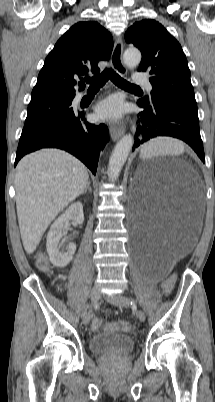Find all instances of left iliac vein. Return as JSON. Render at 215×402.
Here are the masks:
<instances>
[{
	"instance_id": "1",
	"label": "left iliac vein",
	"mask_w": 215,
	"mask_h": 402,
	"mask_svg": "<svg viewBox=\"0 0 215 402\" xmlns=\"http://www.w3.org/2000/svg\"><path fill=\"white\" fill-rule=\"evenodd\" d=\"M105 298L107 299V301H109L110 303L119 306V307H128L130 304V300L124 296L123 294H115L112 296H105ZM138 318L140 321H145V313L143 311H138Z\"/></svg>"
}]
</instances>
